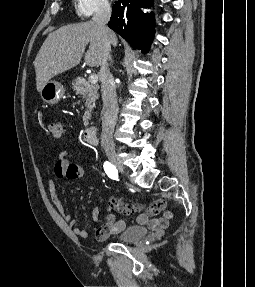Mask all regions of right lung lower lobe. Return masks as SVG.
Masks as SVG:
<instances>
[{"label":"right lung lower lobe","mask_w":255,"mask_h":287,"mask_svg":"<svg viewBox=\"0 0 255 287\" xmlns=\"http://www.w3.org/2000/svg\"><path fill=\"white\" fill-rule=\"evenodd\" d=\"M151 6V0H119L112 7L108 26L121 35L133 49L149 51L154 37L152 13L144 14L142 7Z\"/></svg>","instance_id":"obj_1"}]
</instances>
